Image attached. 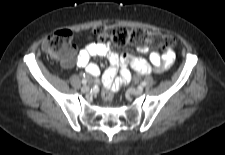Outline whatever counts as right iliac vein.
<instances>
[{
    "label": "right iliac vein",
    "instance_id": "63e3f726",
    "mask_svg": "<svg viewBox=\"0 0 225 155\" xmlns=\"http://www.w3.org/2000/svg\"><path fill=\"white\" fill-rule=\"evenodd\" d=\"M89 90H90L89 86H86V85L81 88V91L83 93H87V92H89Z\"/></svg>",
    "mask_w": 225,
    "mask_h": 155
}]
</instances>
